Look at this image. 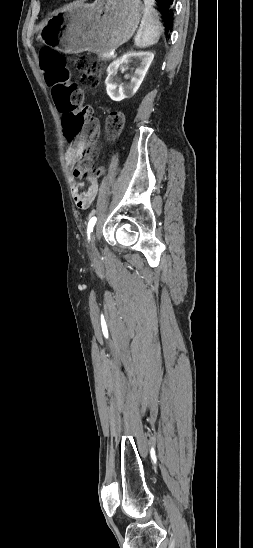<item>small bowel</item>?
Masks as SVG:
<instances>
[{
  "mask_svg": "<svg viewBox=\"0 0 253 548\" xmlns=\"http://www.w3.org/2000/svg\"><path fill=\"white\" fill-rule=\"evenodd\" d=\"M85 147L86 139L84 135L70 138L65 154L71 195L76 206L80 209L88 208L93 203L98 191L96 178H87L89 187L83 190L84 184L80 180L85 176L79 174L76 170L77 162L82 158Z\"/></svg>",
  "mask_w": 253,
  "mask_h": 548,
  "instance_id": "c3829d8e",
  "label": "small bowel"
}]
</instances>
